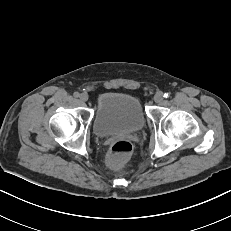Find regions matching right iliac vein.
Listing matches in <instances>:
<instances>
[{
	"instance_id": "63e3f726",
	"label": "right iliac vein",
	"mask_w": 231,
	"mask_h": 231,
	"mask_svg": "<svg viewBox=\"0 0 231 231\" xmlns=\"http://www.w3.org/2000/svg\"><path fill=\"white\" fill-rule=\"evenodd\" d=\"M79 98H80V100H81L82 102H86V101H88V99H89V97H88V95H87L86 93H81V94L79 95Z\"/></svg>"
}]
</instances>
